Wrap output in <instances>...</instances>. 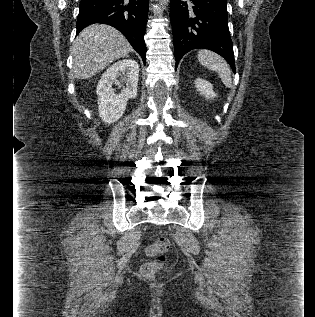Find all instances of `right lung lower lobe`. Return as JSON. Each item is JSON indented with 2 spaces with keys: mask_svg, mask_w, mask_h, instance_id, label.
I'll return each mask as SVG.
<instances>
[{
  "mask_svg": "<svg viewBox=\"0 0 315 317\" xmlns=\"http://www.w3.org/2000/svg\"><path fill=\"white\" fill-rule=\"evenodd\" d=\"M149 0H81L77 33L93 23L118 29L146 63L144 34Z\"/></svg>",
  "mask_w": 315,
  "mask_h": 317,
  "instance_id": "1",
  "label": "right lung lower lobe"
}]
</instances>
